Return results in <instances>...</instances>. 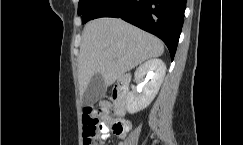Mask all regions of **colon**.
<instances>
[{"mask_svg":"<svg viewBox=\"0 0 243 145\" xmlns=\"http://www.w3.org/2000/svg\"><path fill=\"white\" fill-rule=\"evenodd\" d=\"M104 116L105 111L101 108L88 106L84 109L82 116L83 145H99L97 135ZM110 128L115 134H121L126 130L127 124L123 120H113Z\"/></svg>","mask_w":243,"mask_h":145,"instance_id":"5ec220e1","label":"colon"}]
</instances>
